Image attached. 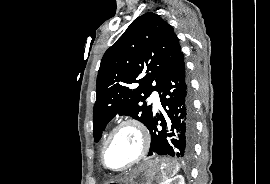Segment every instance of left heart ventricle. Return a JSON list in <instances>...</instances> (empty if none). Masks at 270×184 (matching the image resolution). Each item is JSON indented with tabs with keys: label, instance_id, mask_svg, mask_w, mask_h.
I'll return each instance as SVG.
<instances>
[{
	"label": "left heart ventricle",
	"instance_id": "1",
	"mask_svg": "<svg viewBox=\"0 0 270 184\" xmlns=\"http://www.w3.org/2000/svg\"><path fill=\"white\" fill-rule=\"evenodd\" d=\"M141 140L138 132L131 126L118 131L106 151V163L111 168H121L129 164L139 154Z\"/></svg>",
	"mask_w": 270,
	"mask_h": 184
}]
</instances>
